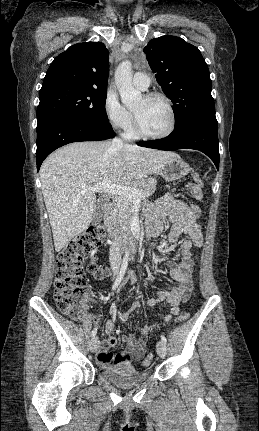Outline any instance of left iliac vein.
I'll use <instances>...</instances> for the list:
<instances>
[{
    "label": "left iliac vein",
    "instance_id": "obj_1",
    "mask_svg": "<svg viewBox=\"0 0 259 431\" xmlns=\"http://www.w3.org/2000/svg\"><path fill=\"white\" fill-rule=\"evenodd\" d=\"M156 351H157V354L161 357V358H165V356H166V345H165V343L163 342V341H159L158 343H157V346H156Z\"/></svg>",
    "mask_w": 259,
    "mask_h": 431
}]
</instances>
